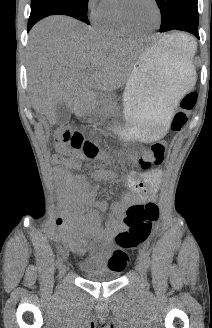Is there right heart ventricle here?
I'll return each mask as SVG.
<instances>
[{
	"label": "right heart ventricle",
	"instance_id": "right-heart-ventricle-1",
	"mask_svg": "<svg viewBox=\"0 0 212 328\" xmlns=\"http://www.w3.org/2000/svg\"><path fill=\"white\" fill-rule=\"evenodd\" d=\"M98 28L110 35L115 37H125L134 35L122 24L119 14L117 2H110L103 15L96 21Z\"/></svg>",
	"mask_w": 212,
	"mask_h": 328
}]
</instances>
